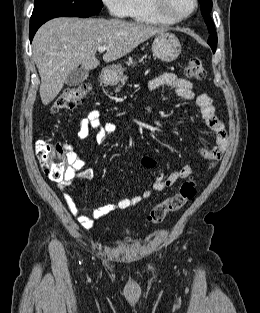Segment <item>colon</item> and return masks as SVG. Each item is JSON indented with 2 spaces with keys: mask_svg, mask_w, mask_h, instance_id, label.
I'll return each mask as SVG.
<instances>
[{
  "mask_svg": "<svg viewBox=\"0 0 260 313\" xmlns=\"http://www.w3.org/2000/svg\"><path fill=\"white\" fill-rule=\"evenodd\" d=\"M184 74L191 80H203L206 72L199 58H190L185 66ZM89 93L87 84L65 89L53 102L51 111L58 113L67 111L82 104ZM36 154L40 161L43 173L54 181H61L70 167L69 148L62 144H53L46 140H39L36 144ZM197 192L196 183L187 181L182 184L179 191L155 205L147 221L151 224L161 223L165 217L179 211L188 201L192 200Z\"/></svg>",
  "mask_w": 260,
  "mask_h": 313,
  "instance_id": "1",
  "label": "colon"
}]
</instances>
